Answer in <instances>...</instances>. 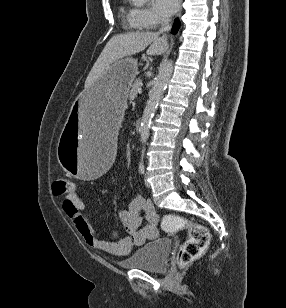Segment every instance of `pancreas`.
I'll list each match as a JSON object with an SVG mask.
<instances>
[{
    "instance_id": "1",
    "label": "pancreas",
    "mask_w": 286,
    "mask_h": 308,
    "mask_svg": "<svg viewBox=\"0 0 286 308\" xmlns=\"http://www.w3.org/2000/svg\"><path fill=\"white\" fill-rule=\"evenodd\" d=\"M141 80H136L134 84L131 86V90L129 92V98L134 99L138 94V89L141 87Z\"/></svg>"
}]
</instances>
